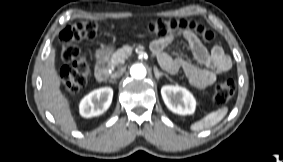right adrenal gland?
I'll return each mask as SVG.
<instances>
[{
    "label": "right adrenal gland",
    "instance_id": "right-adrenal-gland-1",
    "mask_svg": "<svg viewBox=\"0 0 283 162\" xmlns=\"http://www.w3.org/2000/svg\"><path fill=\"white\" fill-rule=\"evenodd\" d=\"M109 82H110V83H112V84L116 83V82H115V81H113V80H109Z\"/></svg>",
    "mask_w": 283,
    "mask_h": 162
}]
</instances>
